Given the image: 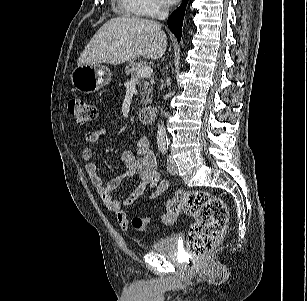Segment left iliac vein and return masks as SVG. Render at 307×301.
Here are the masks:
<instances>
[{"label": "left iliac vein", "mask_w": 307, "mask_h": 301, "mask_svg": "<svg viewBox=\"0 0 307 301\" xmlns=\"http://www.w3.org/2000/svg\"><path fill=\"white\" fill-rule=\"evenodd\" d=\"M167 170L170 174H177L178 171L176 163L171 157H169L167 161Z\"/></svg>", "instance_id": "1"}]
</instances>
